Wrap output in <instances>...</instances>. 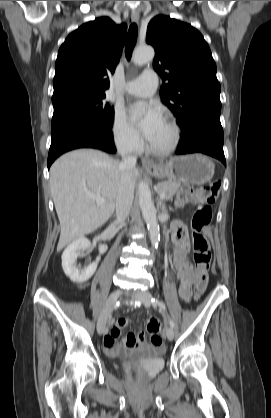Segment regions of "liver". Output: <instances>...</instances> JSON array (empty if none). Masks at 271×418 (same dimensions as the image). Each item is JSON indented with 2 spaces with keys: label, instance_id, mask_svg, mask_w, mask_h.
I'll use <instances>...</instances> for the list:
<instances>
[{
  "label": "liver",
  "instance_id": "6515ba94",
  "mask_svg": "<svg viewBox=\"0 0 271 418\" xmlns=\"http://www.w3.org/2000/svg\"><path fill=\"white\" fill-rule=\"evenodd\" d=\"M125 172L122 162L94 149H79L64 154L50 168V188L60 221L57 250L101 227L112 216L118 186ZM133 191L138 170H128ZM89 194L103 197L97 205Z\"/></svg>",
  "mask_w": 271,
  "mask_h": 418
}]
</instances>
